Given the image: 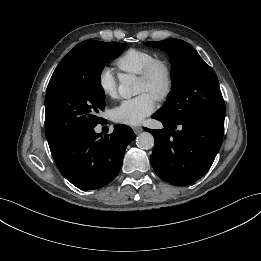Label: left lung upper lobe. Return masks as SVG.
Listing matches in <instances>:
<instances>
[{
	"label": "left lung upper lobe",
	"instance_id": "obj_1",
	"mask_svg": "<svg viewBox=\"0 0 261 261\" xmlns=\"http://www.w3.org/2000/svg\"><path fill=\"white\" fill-rule=\"evenodd\" d=\"M145 45L169 54L172 64V91L155 114L177 121L209 113H225L217 76L188 43L168 39Z\"/></svg>",
	"mask_w": 261,
	"mask_h": 261
}]
</instances>
